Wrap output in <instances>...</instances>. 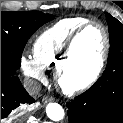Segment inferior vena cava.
<instances>
[{"label":"inferior vena cava","instance_id":"obj_1","mask_svg":"<svg viewBox=\"0 0 123 123\" xmlns=\"http://www.w3.org/2000/svg\"><path fill=\"white\" fill-rule=\"evenodd\" d=\"M24 88L30 95L34 96L39 93V91L41 89V85L36 80L25 79L24 80Z\"/></svg>","mask_w":123,"mask_h":123}]
</instances>
